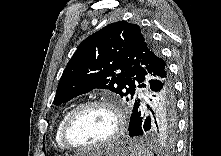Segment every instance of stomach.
<instances>
[{
    "label": "stomach",
    "mask_w": 221,
    "mask_h": 156,
    "mask_svg": "<svg viewBox=\"0 0 221 156\" xmlns=\"http://www.w3.org/2000/svg\"><path fill=\"white\" fill-rule=\"evenodd\" d=\"M89 156H134V151L130 142L118 141L96 150Z\"/></svg>",
    "instance_id": "stomach-1"
}]
</instances>
